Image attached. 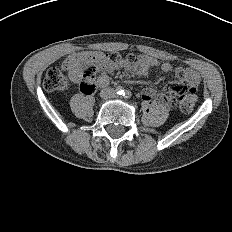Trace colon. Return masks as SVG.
<instances>
[{
  "label": "colon",
  "instance_id": "5ec220e1",
  "mask_svg": "<svg viewBox=\"0 0 232 232\" xmlns=\"http://www.w3.org/2000/svg\"><path fill=\"white\" fill-rule=\"evenodd\" d=\"M138 62L139 58L135 55H128L125 57L116 53L90 55L85 60L80 89L84 94H91L95 89L94 81L97 73L106 69L116 70L123 65L133 67L137 65ZM66 85V78L60 69L53 67L47 71L44 78V87L46 90H61L64 89ZM177 99L182 111H192L196 103V88L189 87L186 84H179L167 90L165 93L158 95V100L167 106L175 105Z\"/></svg>",
  "mask_w": 232,
  "mask_h": 232
}]
</instances>
